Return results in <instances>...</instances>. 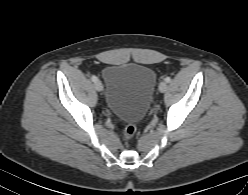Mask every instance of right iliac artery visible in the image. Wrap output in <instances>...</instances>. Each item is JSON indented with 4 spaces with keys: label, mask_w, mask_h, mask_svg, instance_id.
Listing matches in <instances>:
<instances>
[{
    "label": "right iliac artery",
    "mask_w": 248,
    "mask_h": 195,
    "mask_svg": "<svg viewBox=\"0 0 248 195\" xmlns=\"http://www.w3.org/2000/svg\"><path fill=\"white\" fill-rule=\"evenodd\" d=\"M91 80L93 81V82H96V81H98V78L96 77V76H91Z\"/></svg>",
    "instance_id": "right-iliac-artery-1"
}]
</instances>
